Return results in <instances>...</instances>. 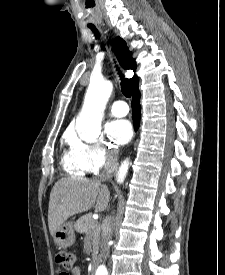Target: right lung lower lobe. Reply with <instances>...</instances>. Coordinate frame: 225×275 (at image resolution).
<instances>
[{"mask_svg":"<svg viewBox=\"0 0 225 275\" xmlns=\"http://www.w3.org/2000/svg\"><path fill=\"white\" fill-rule=\"evenodd\" d=\"M132 114L134 129L136 131L139 128L140 123V92L138 87L133 89Z\"/></svg>","mask_w":225,"mask_h":275,"instance_id":"98d812e1","label":"right lung lower lobe"}]
</instances>
